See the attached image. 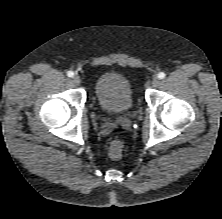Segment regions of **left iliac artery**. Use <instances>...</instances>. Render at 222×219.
Instances as JSON below:
<instances>
[{
  "instance_id": "left-iliac-artery-1",
  "label": "left iliac artery",
  "mask_w": 222,
  "mask_h": 219,
  "mask_svg": "<svg viewBox=\"0 0 222 219\" xmlns=\"http://www.w3.org/2000/svg\"><path fill=\"white\" fill-rule=\"evenodd\" d=\"M165 76H166V74H165L164 72H160V73L158 74V78H160V79L165 78Z\"/></svg>"
}]
</instances>
